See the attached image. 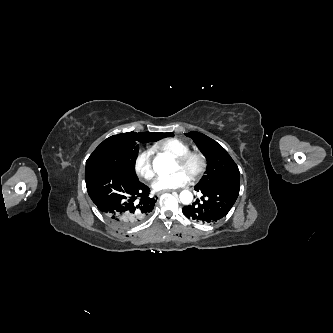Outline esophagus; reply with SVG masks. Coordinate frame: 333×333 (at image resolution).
Instances as JSON below:
<instances>
[{"mask_svg": "<svg viewBox=\"0 0 333 333\" xmlns=\"http://www.w3.org/2000/svg\"><path fill=\"white\" fill-rule=\"evenodd\" d=\"M172 191L173 190H164V191L159 192L158 195H161V194L166 193V192H172Z\"/></svg>", "mask_w": 333, "mask_h": 333, "instance_id": "obj_1", "label": "esophagus"}]
</instances>
